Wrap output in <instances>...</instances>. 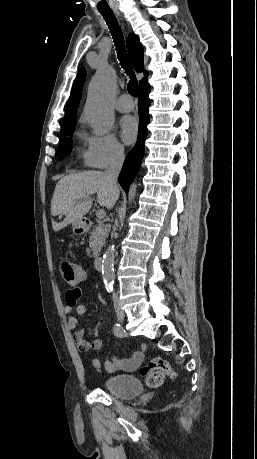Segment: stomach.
<instances>
[{"mask_svg": "<svg viewBox=\"0 0 257 459\" xmlns=\"http://www.w3.org/2000/svg\"><path fill=\"white\" fill-rule=\"evenodd\" d=\"M72 229L74 231H76L77 233H80L83 231V222H82V219L81 220H78L76 222H73L72 223Z\"/></svg>", "mask_w": 257, "mask_h": 459, "instance_id": "1", "label": "stomach"}]
</instances>
